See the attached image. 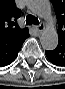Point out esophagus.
I'll use <instances>...</instances> for the list:
<instances>
[{"label":"esophagus","mask_w":65,"mask_h":89,"mask_svg":"<svg viewBox=\"0 0 65 89\" xmlns=\"http://www.w3.org/2000/svg\"><path fill=\"white\" fill-rule=\"evenodd\" d=\"M35 29L38 33H41L45 29V25L44 24L36 25Z\"/></svg>","instance_id":"obj_1"}]
</instances>
